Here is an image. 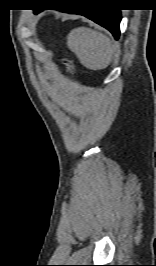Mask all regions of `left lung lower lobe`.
Segmentation results:
<instances>
[{
    "label": "left lung lower lobe",
    "mask_w": 156,
    "mask_h": 266,
    "mask_svg": "<svg viewBox=\"0 0 156 266\" xmlns=\"http://www.w3.org/2000/svg\"><path fill=\"white\" fill-rule=\"evenodd\" d=\"M39 12L40 10H34ZM62 11H67L71 13H78L86 16L87 18L93 20L99 25L108 29L115 39L119 38L120 35V21L121 13L118 9L111 8H86V9H66Z\"/></svg>",
    "instance_id": "1"
}]
</instances>
